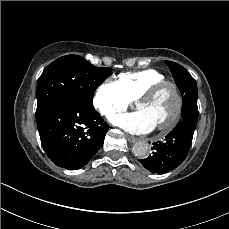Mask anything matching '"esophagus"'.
<instances>
[{"label":"esophagus","mask_w":229,"mask_h":229,"mask_svg":"<svg viewBox=\"0 0 229 229\" xmlns=\"http://www.w3.org/2000/svg\"><path fill=\"white\" fill-rule=\"evenodd\" d=\"M127 140L130 142V143H134L138 140L137 137L135 136H132V135H127Z\"/></svg>","instance_id":"1"}]
</instances>
